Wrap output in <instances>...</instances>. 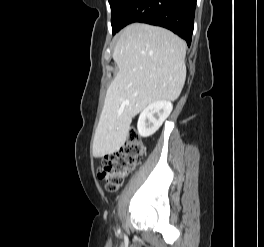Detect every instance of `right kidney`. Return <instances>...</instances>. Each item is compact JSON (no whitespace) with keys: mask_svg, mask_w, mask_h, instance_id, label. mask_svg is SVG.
I'll list each match as a JSON object with an SVG mask.
<instances>
[{"mask_svg":"<svg viewBox=\"0 0 264 247\" xmlns=\"http://www.w3.org/2000/svg\"><path fill=\"white\" fill-rule=\"evenodd\" d=\"M173 109L170 101L161 100L149 104L140 114L137 129L142 137L153 135L167 119Z\"/></svg>","mask_w":264,"mask_h":247,"instance_id":"right-kidney-1","label":"right kidney"}]
</instances>
